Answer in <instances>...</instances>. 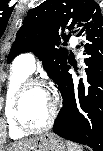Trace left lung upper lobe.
Masks as SVG:
<instances>
[{
  "label": "left lung upper lobe",
  "instance_id": "obj_1",
  "mask_svg": "<svg viewBox=\"0 0 103 151\" xmlns=\"http://www.w3.org/2000/svg\"><path fill=\"white\" fill-rule=\"evenodd\" d=\"M78 27L103 30V17L98 4L93 0H47L30 10L17 32L7 62L18 54L34 52L50 78L56 79L69 60L67 50L60 48L61 38L66 40L65 29L77 32ZM70 33L68 36H70Z\"/></svg>",
  "mask_w": 103,
  "mask_h": 151
}]
</instances>
